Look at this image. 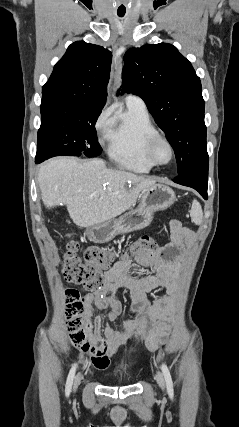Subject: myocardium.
Listing matches in <instances>:
<instances>
[{"label":"myocardium","instance_id":"myocardium-1","mask_svg":"<svg viewBox=\"0 0 239 427\" xmlns=\"http://www.w3.org/2000/svg\"><path fill=\"white\" fill-rule=\"evenodd\" d=\"M159 143H165L169 149V153H170L169 158L165 162H161V161L157 160L155 157V149ZM146 155H147V158L149 159V161L154 166L167 165L174 159V156H175L174 145L167 136L158 132L149 138V140L147 142V146H146Z\"/></svg>","mask_w":239,"mask_h":427}]
</instances>
